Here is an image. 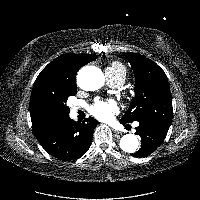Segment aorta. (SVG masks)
I'll list each match as a JSON object with an SVG mask.
<instances>
[{"instance_id":"762f6f07","label":"aorta","mask_w":200,"mask_h":200,"mask_svg":"<svg viewBox=\"0 0 200 200\" xmlns=\"http://www.w3.org/2000/svg\"><path fill=\"white\" fill-rule=\"evenodd\" d=\"M79 86L86 91H95L104 85L102 71L94 66L82 68L77 75ZM120 148L127 153H134L139 148V140L134 134H126L120 140Z\"/></svg>"}]
</instances>
